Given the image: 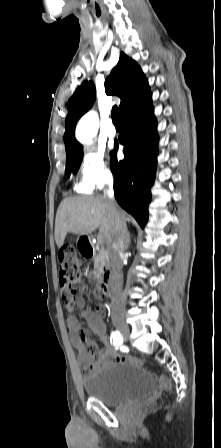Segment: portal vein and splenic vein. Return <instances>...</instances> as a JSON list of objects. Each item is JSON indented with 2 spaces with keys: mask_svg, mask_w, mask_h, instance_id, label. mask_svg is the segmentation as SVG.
<instances>
[{
  "mask_svg": "<svg viewBox=\"0 0 221 448\" xmlns=\"http://www.w3.org/2000/svg\"><path fill=\"white\" fill-rule=\"evenodd\" d=\"M102 240H103V236L101 235L98 237V241L101 242Z\"/></svg>",
  "mask_w": 221,
  "mask_h": 448,
  "instance_id": "obj_1",
  "label": "portal vein and splenic vein"
}]
</instances>
